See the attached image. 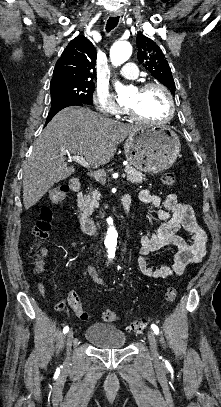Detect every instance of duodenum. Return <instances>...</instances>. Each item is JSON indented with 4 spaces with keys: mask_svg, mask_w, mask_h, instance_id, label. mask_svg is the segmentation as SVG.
I'll use <instances>...</instances> for the list:
<instances>
[{
    "mask_svg": "<svg viewBox=\"0 0 221 407\" xmlns=\"http://www.w3.org/2000/svg\"><path fill=\"white\" fill-rule=\"evenodd\" d=\"M71 190L76 194L77 209L76 216L80 221L85 232L88 234L93 233L99 226L93 221L89 213L83 208V197L81 195L82 186L80 183L73 182L70 184ZM131 198L128 194H124L121 199L123 210L126 216L129 214Z\"/></svg>",
    "mask_w": 221,
    "mask_h": 407,
    "instance_id": "obj_1",
    "label": "duodenum"
}]
</instances>
